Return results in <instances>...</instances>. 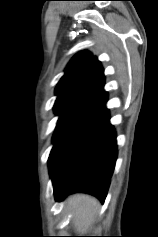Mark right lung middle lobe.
<instances>
[{"label": "right lung middle lobe", "instance_id": "1", "mask_svg": "<svg viewBox=\"0 0 158 237\" xmlns=\"http://www.w3.org/2000/svg\"><path fill=\"white\" fill-rule=\"evenodd\" d=\"M80 106L68 102H56L54 105V111L56 114L60 115L58 124H60L67 116L73 113Z\"/></svg>", "mask_w": 158, "mask_h": 237}]
</instances>
